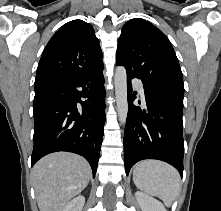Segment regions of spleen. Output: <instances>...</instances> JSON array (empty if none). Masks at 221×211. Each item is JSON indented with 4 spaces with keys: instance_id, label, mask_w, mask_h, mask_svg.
Masks as SVG:
<instances>
[{
    "instance_id": "spleen-1",
    "label": "spleen",
    "mask_w": 221,
    "mask_h": 211,
    "mask_svg": "<svg viewBox=\"0 0 221 211\" xmlns=\"http://www.w3.org/2000/svg\"><path fill=\"white\" fill-rule=\"evenodd\" d=\"M133 181L137 188L160 198L166 206H171L181 189L177 170L156 160L139 162L133 171Z\"/></svg>"
}]
</instances>
